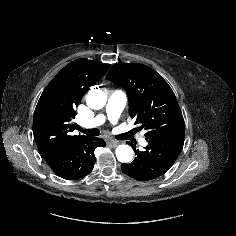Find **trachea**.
Listing matches in <instances>:
<instances>
[{
  "mask_svg": "<svg viewBox=\"0 0 236 236\" xmlns=\"http://www.w3.org/2000/svg\"><path fill=\"white\" fill-rule=\"evenodd\" d=\"M78 130L80 132L86 134V135H89V136H98V135H100V130L97 129V128L86 130V129H83L81 127H78Z\"/></svg>",
  "mask_w": 236,
  "mask_h": 236,
  "instance_id": "1",
  "label": "trachea"
}]
</instances>
